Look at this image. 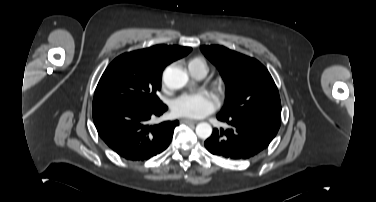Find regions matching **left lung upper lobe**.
<instances>
[{"label":"left lung upper lobe","instance_id":"1","mask_svg":"<svg viewBox=\"0 0 376 202\" xmlns=\"http://www.w3.org/2000/svg\"><path fill=\"white\" fill-rule=\"evenodd\" d=\"M201 51L218 68L226 84L221 114L258 115L281 121L278 89L259 61L219 45L201 46Z\"/></svg>","mask_w":376,"mask_h":202}]
</instances>
